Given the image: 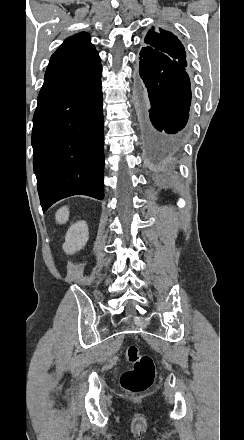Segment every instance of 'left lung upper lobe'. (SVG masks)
Returning <instances> with one entry per match:
<instances>
[{"label":"left lung upper lobe","mask_w":244,"mask_h":440,"mask_svg":"<svg viewBox=\"0 0 244 440\" xmlns=\"http://www.w3.org/2000/svg\"><path fill=\"white\" fill-rule=\"evenodd\" d=\"M146 46L141 49L140 60L156 64L183 65L187 67L186 52L182 43L171 32L154 27L145 37Z\"/></svg>","instance_id":"obj_1"}]
</instances>
